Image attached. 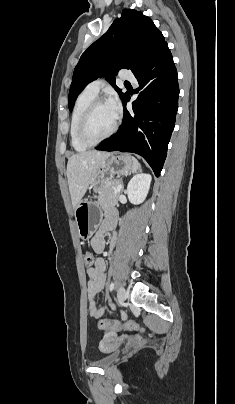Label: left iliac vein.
Returning <instances> with one entry per match:
<instances>
[{"mask_svg":"<svg viewBox=\"0 0 235 404\" xmlns=\"http://www.w3.org/2000/svg\"><path fill=\"white\" fill-rule=\"evenodd\" d=\"M127 298L126 290L123 287H119L117 292V300L120 305H122Z\"/></svg>","mask_w":235,"mask_h":404,"instance_id":"1","label":"left iliac vein"}]
</instances>
